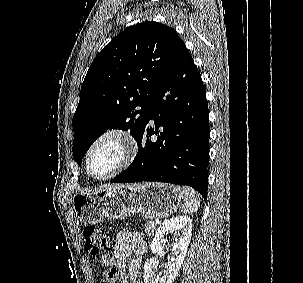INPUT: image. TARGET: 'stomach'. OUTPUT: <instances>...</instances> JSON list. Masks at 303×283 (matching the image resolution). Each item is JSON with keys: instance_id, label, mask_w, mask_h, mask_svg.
<instances>
[{"instance_id": "1", "label": "stomach", "mask_w": 303, "mask_h": 283, "mask_svg": "<svg viewBox=\"0 0 303 283\" xmlns=\"http://www.w3.org/2000/svg\"><path fill=\"white\" fill-rule=\"evenodd\" d=\"M183 199L181 189L165 183L116 185L95 192L77 193L72 205L78 219L97 224L108 219H124L140 214L146 219L166 218Z\"/></svg>"}]
</instances>
